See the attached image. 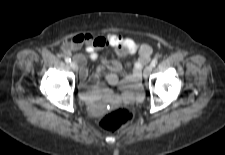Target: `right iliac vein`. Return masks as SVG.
<instances>
[{
    "instance_id": "1",
    "label": "right iliac vein",
    "mask_w": 225,
    "mask_h": 155,
    "mask_svg": "<svg viewBox=\"0 0 225 155\" xmlns=\"http://www.w3.org/2000/svg\"><path fill=\"white\" fill-rule=\"evenodd\" d=\"M70 67H71L74 71H77V70H78V65H77V63L74 62V61L70 63Z\"/></svg>"
}]
</instances>
